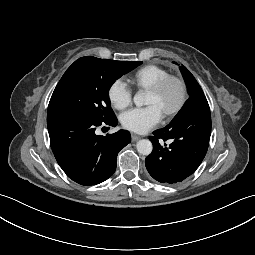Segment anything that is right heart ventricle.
Returning a JSON list of instances; mask_svg holds the SVG:
<instances>
[{
    "instance_id": "e07e8e85",
    "label": "right heart ventricle",
    "mask_w": 255,
    "mask_h": 255,
    "mask_svg": "<svg viewBox=\"0 0 255 255\" xmlns=\"http://www.w3.org/2000/svg\"><path fill=\"white\" fill-rule=\"evenodd\" d=\"M169 75V71L163 67L155 64H148L139 68L134 73L132 80L138 88L148 89Z\"/></svg>"
}]
</instances>
